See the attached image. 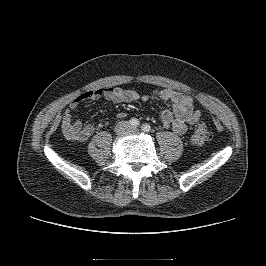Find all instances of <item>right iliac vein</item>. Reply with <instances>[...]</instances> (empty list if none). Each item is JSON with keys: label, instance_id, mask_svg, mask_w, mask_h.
I'll use <instances>...</instances> for the list:
<instances>
[{"label": "right iliac vein", "instance_id": "obj_1", "mask_svg": "<svg viewBox=\"0 0 266 266\" xmlns=\"http://www.w3.org/2000/svg\"><path fill=\"white\" fill-rule=\"evenodd\" d=\"M116 133L122 135L128 131V124L125 122H120L115 129Z\"/></svg>", "mask_w": 266, "mask_h": 266}]
</instances>
